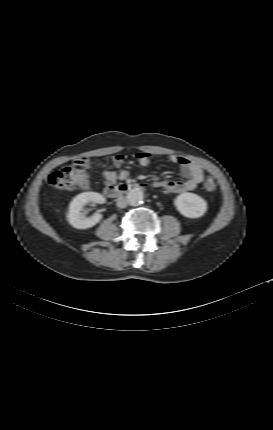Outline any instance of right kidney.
Returning <instances> with one entry per match:
<instances>
[{
	"instance_id": "right-kidney-1",
	"label": "right kidney",
	"mask_w": 273,
	"mask_h": 430,
	"mask_svg": "<svg viewBox=\"0 0 273 430\" xmlns=\"http://www.w3.org/2000/svg\"><path fill=\"white\" fill-rule=\"evenodd\" d=\"M90 202L102 204L105 202V198L96 192H84L77 195L71 201L67 214V220L74 228H91L102 219V215L99 213H95L91 217L85 216L84 206Z\"/></svg>"
}]
</instances>
